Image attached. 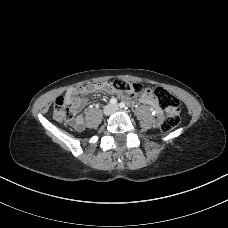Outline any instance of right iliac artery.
I'll list each match as a JSON object with an SVG mask.
<instances>
[{"label": "right iliac artery", "instance_id": "right-iliac-artery-1", "mask_svg": "<svg viewBox=\"0 0 228 228\" xmlns=\"http://www.w3.org/2000/svg\"><path fill=\"white\" fill-rule=\"evenodd\" d=\"M116 103H117V99L115 98L110 99V104L114 105Z\"/></svg>", "mask_w": 228, "mask_h": 228}]
</instances>
